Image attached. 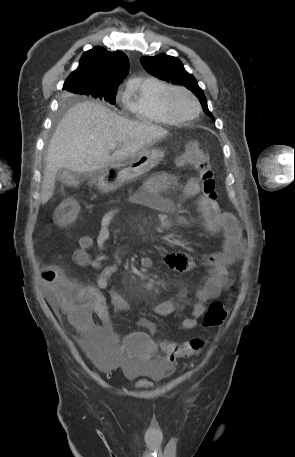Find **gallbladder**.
Here are the masks:
<instances>
[{
	"label": "gallbladder",
	"instance_id": "1",
	"mask_svg": "<svg viewBox=\"0 0 295 457\" xmlns=\"http://www.w3.org/2000/svg\"><path fill=\"white\" fill-rule=\"evenodd\" d=\"M83 179L82 174L71 172L65 168L60 169L56 174V180L64 185L75 187Z\"/></svg>",
	"mask_w": 295,
	"mask_h": 457
}]
</instances>
